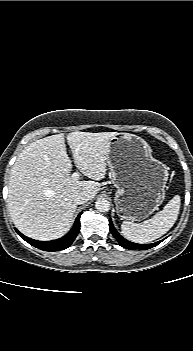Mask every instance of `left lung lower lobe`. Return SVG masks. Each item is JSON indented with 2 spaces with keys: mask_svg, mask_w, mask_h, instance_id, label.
<instances>
[{
  "mask_svg": "<svg viewBox=\"0 0 193 351\" xmlns=\"http://www.w3.org/2000/svg\"><path fill=\"white\" fill-rule=\"evenodd\" d=\"M109 229L111 231V233L113 234V236L116 238V240L118 241V243L120 244V246L126 248V249H129V250H133V249H144V250H147V249H150L156 245H158L159 243H161L163 240L159 241V242H156V243H153V244H137V243H133V242H130L126 239H124L117 231L116 229L114 228L113 224H112V221L110 219L109 221Z\"/></svg>",
  "mask_w": 193,
  "mask_h": 351,
  "instance_id": "0a47b994",
  "label": "left lung lower lobe"
}]
</instances>
